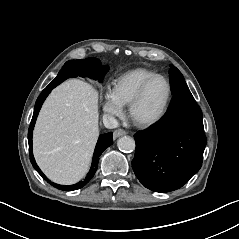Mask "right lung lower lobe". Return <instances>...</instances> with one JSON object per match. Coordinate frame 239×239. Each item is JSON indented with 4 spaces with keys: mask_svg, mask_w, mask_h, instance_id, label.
<instances>
[{
    "mask_svg": "<svg viewBox=\"0 0 239 239\" xmlns=\"http://www.w3.org/2000/svg\"><path fill=\"white\" fill-rule=\"evenodd\" d=\"M109 70L108 66L101 67V63L96 58H87L85 60H71L65 63L63 68L58 73L57 77L42 91L38 99L36 100L35 107H34V113L32 117V121L28 130V142H29V148H30V161L33 165V167L37 170V172L51 185H53L55 188L63 190V191H73L82 188L85 186L91 178L94 176L97 167H98V160L101 153L109 146L113 144L112 140V132L102 134L100 135L94 155H93V161L91 165V169L86 176L85 180L80 181L76 184L69 185V186H62L56 183L51 182L40 170V168L37 166L35 159L32 154V134H33V128L39 113V110L48 96V94L51 92L53 88H55L57 85L62 83L64 80L70 77H90L92 79H98L101 81L105 75V73Z\"/></svg>",
    "mask_w": 239,
    "mask_h": 239,
    "instance_id": "right-lung-lower-lobe-1",
    "label": "right lung lower lobe"
}]
</instances>
